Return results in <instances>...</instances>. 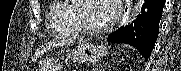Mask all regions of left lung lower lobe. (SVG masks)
Segmentation results:
<instances>
[{
  "label": "left lung lower lobe",
  "mask_w": 181,
  "mask_h": 71,
  "mask_svg": "<svg viewBox=\"0 0 181 71\" xmlns=\"http://www.w3.org/2000/svg\"><path fill=\"white\" fill-rule=\"evenodd\" d=\"M165 0H145L141 14L129 26H122L109 35L112 43H126L138 49L145 60H148L159 33V22L162 17Z\"/></svg>",
  "instance_id": "left-lung-lower-lobe-1"
}]
</instances>
